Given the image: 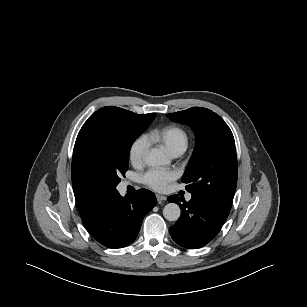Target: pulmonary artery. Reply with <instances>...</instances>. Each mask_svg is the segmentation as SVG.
<instances>
[{
  "mask_svg": "<svg viewBox=\"0 0 307 307\" xmlns=\"http://www.w3.org/2000/svg\"><path fill=\"white\" fill-rule=\"evenodd\" d=\"M182 153L181 152H178V153H175V154H173L175 157H177V156H179V155H181ZM191 198H192V196L190 195V194H188L187 196H186V199L189 201V200H191Z\"/></svg>",
  "mask_w": 307,
  "mask_h": 307,
  "instance_id": "obj_1",
  "label": "pulmonary artery"
}]
</instances>
